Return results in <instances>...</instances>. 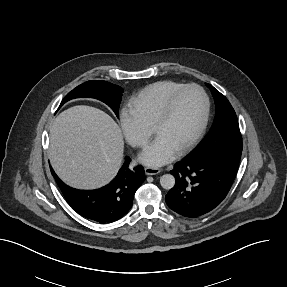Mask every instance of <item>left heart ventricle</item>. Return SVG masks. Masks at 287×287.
Listing matches in <instances>:
<instances>
[{
  "mask_svg": "<svg viewBox=\"0 0 287 287\" xmlns=\"http://www.w3.org/2000/svg\"><path fill=\"white\" fill-rule=\"evenodd\" d=\"M203 113V99L197 90L181 93L174 102L169 118L155 132L177 150L182 147L197 129Z\"/></svg>",
  "mask_w": 287,
  "mask_h": 287,
  "instance_id": "b2bd125f",
  "label": "left heart ventricle"
}]
</instances>
